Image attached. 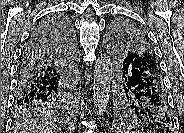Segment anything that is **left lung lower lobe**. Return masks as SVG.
<instances>
[{
	"mask_svg": "<svg viewBox=\"0 0 184 133\" xmlns=\"http://www.w3.org/2000/svg\"><path fill=\"white\" fill-rule=\"evenodd\" d=\"M130 85L134 88L136 96L144 102V107L147 109V120L171 124L170 111L165 106L167 97L162 81L153 79L151 76H144L141 71H136L132 75Z\"/></svg>",
	"mask_w": 184,
	"mask_h": 133,
	"instance_id": "1",
	"label": "left lung lower lobe"
}]
</instances>
